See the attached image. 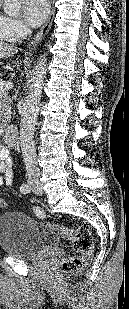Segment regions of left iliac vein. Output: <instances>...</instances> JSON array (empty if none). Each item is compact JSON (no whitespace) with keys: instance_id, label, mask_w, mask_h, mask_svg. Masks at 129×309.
Returning a JSON list of instances; mask_svg holds the SVG:
<instances>
[{"instance_id":"1","label":"left iliac vein","mask_w":129,"mask_h":309,"mask_svg":"<svg viewBox=\"0 0 129 309\" xmlns=\"http://www.w3.org/2000/svg\"><path fill=\"white\" fill-rule=\"evenodd\" d=\"M31 190L34 194L36 195H42L43 194V190L38 182L37 179H34L32 182H31Z\"/></svg>"}]
</instances>
